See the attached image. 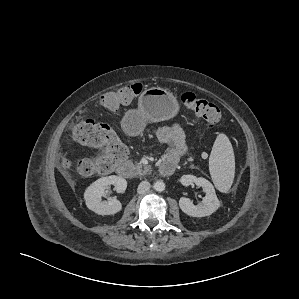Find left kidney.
<instances>
[{"mask_svg":"<svg viewBox=\"0 0 299 299\" xmlns=\"http://www.w3.org/2000/svg\"><path fill=\"white\" fill-rule=\"evenodd\" d=\"M180 182L184 186L195 183L196 186L202 187L206 193L200 205L197 206L189 198L181 197L179 206L185 214L192 217H204L211 215L220 207V201L217 198L213 185L205 178L183 175Z\"/></svg>","mask_w":299,"mask_h":299,"instance_id":"left-kidney-1","label":"left kidney"}]
</instances>
